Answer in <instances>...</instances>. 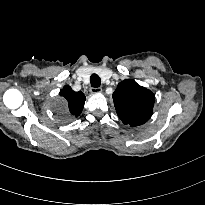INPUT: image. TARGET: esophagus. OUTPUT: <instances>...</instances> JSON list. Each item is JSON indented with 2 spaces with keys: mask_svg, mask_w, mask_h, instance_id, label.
I'll return each instance as SVG.
<instances>
[{
  "mask_svg": "<svg viewBox=\"0 0 205 205\" xmlns=\"http://www.w3.org/2000/svg\"><path fill=\"white\" fill-rule=\"evenodd\" d=\"M90 92H91L92 94H99V93L102 92V88H101V87H96V88L92 87V88L90 89Z\"/></svg>",
  "mask_w": 205,
  "mask_h": 205,
  "instance_id": "1",
  "label": "esophagus"
}]
</instances>
